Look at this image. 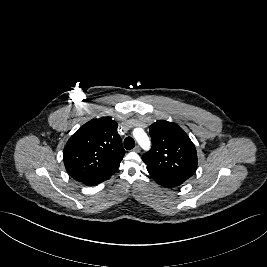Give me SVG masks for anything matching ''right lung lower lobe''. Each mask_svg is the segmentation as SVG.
<instances>
[{"mask_svg": "<svg viewBox=\"0 0 267 267\" xmlns=\"http://www.w3.org/2000/svg\"><path fill=\"white\" fill-rule=\"evenodd\" d=\"M116 170H113V171H110V172H107L99 177H96V178H93V179H90L88 181H85V182H82L86 185H97L105 180H107L108 178H110L114 173H115Z\"/></svg>", "mask_w": 267, "mask_h": 267, "instance_id": "98d812e1", "label": "right lung lower lobe"}]
</instances>
